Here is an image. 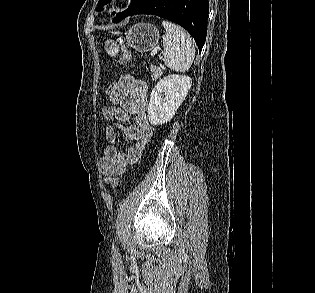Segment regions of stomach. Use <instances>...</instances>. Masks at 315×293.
<instances>
[{"label": "stomach", "instance_id": "obj_1", "mask_svg": "<svg viewBox=\"0 0 315 293\" xmlns=\"http://www.w3.org/2000/svg\"><path fill=\"white\" fill-rule=\"evenodd\" d=\"M159 39L158 29L151 24H136L125 33L126 45L141 53L153 50L157 46ZM105 50L110 56H116L119 51V45L112 40H107L105 42Z\"/></svg>", "mask_w": 315, "mask_h": 293}]
</instances>
